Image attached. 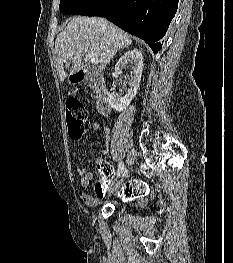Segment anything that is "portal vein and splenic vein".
I'll return each mask as SVG.
<instances>
[{
    "label": "portal vein and splenic vein",
    "instance_id": "portal-vein-and-splenic-vein-1",
    "mask_svg": "<svg viewBox=\"0 0 233 263\" xmlns=\"http://www.w3.org/2000/svg\"><path fill=\"white\" fill-rule=\"evenodd\" d=\"M85 60L89 61L92 64H98L99 63L98 59L91 54H86Z\"/></svg>",
    "mask_w": 233,
    "mask_h": 263
}]
</instances>
